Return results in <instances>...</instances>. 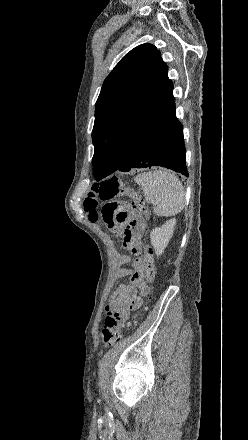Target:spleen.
I'll use <instances>...</instances> for the list:
<instances>
[{
	"instance_id": "spleen-1",
	"label": "spleen",
	"mask_w": 248,
	"mask_h": 440,
	"mask_svg": "<svg viewBox=\"0 0 248 440\" xmlns=\"http://www.w3.org/2000/svg\"><path fill=\"white\" fill-rule=\"evenodd\" d=\"M135 182L142 186L147 202L155 205L157 216L176 215L184 209L185 190L180 180L166 170L138 174Z\"/></svg>"
}]
</instances>
